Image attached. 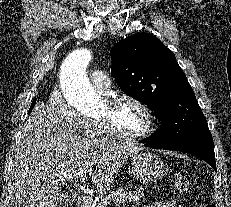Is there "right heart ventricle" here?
Instances as JSON below:
<instances>
[{
	"mask_svg": "<svg viewBox=\"0 0 231 207\" xmlns=\"http://www.w3.org/2000/svg\"><path fill=\"white\" fill-rule=\"evenodd\" d=\"M84 134L89 138H103L104 134L101 124L96 119L86 120V131Z\"/></svg>",
	"mask_w": 231,
	"mask_h": 207,
	"instance_id": "e07e8e85",
	"label": "right heart ventricle"
}]
</instances>
